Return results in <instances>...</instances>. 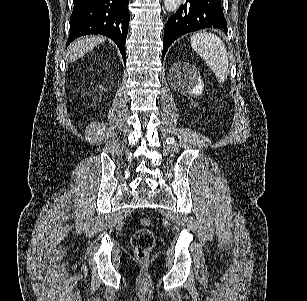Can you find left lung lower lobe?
<instances>
[{
  "label": "left lung lower lobe",
  "mask_w": 307,
  "mask_h": 301,
  "mask_svg": "<svg viewBox=\"0 0 307 301\" xmlns=\"http://www.w3.org/2000/svg\"><path fill=\"white\" fill-rule=\"evenodd\" d=\"M209 27L219 28L227 33L221 0H186L165 25L162 61L167 49L177 38Z\"/></svg>",
  "instance_id": "obj_1"
}]
</instances>
